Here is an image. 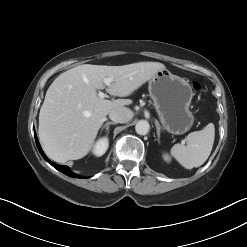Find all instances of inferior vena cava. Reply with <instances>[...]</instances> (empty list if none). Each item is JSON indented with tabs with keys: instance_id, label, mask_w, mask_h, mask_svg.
I'll return each instance as SVG.
<instances>
[{
	"instance_id": "inferior-vena-cava-1",
	"label": "inferior vena cava",
	"mask_w": 247,
	"mask_h": 247,
	"mask_svg": "<svg viewBox=\"0 0 247 247\" xmlns=\"http://www.w3.org/2000/svg\"><path fill=\"white\" fill-rule=\"evenodd\" d=\"M109 118L115 123H126L132 118V112L126 107H118L109 112Z\"/></svg>"
}]
</instances>
